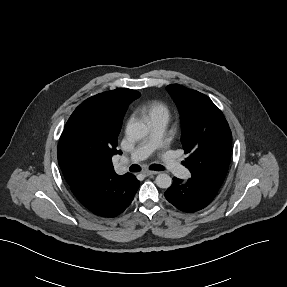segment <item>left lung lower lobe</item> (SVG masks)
Listing matches in <instances>:
<instances>
[{
  "mask_svg": "<svg viewBox=\"0 0 287 287\" xmlns=\"http://www.w3.org/2000/svg\"><path fill=\"white\" fill-rule=\"evenodd\" d=\"M218 190L193 177L185 182L174 177L173 184L165 192V197L179 210L196 212L210 204Z\"/></svg>",
  "mask_w": 287,
  "mask_h": 287,
  "instance_id": "0a47b994",
  "label": "left lung lower lobe"
}]
</instances>
